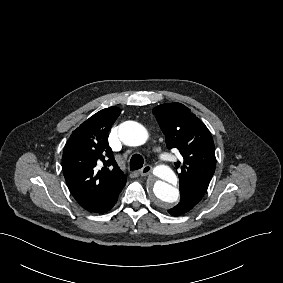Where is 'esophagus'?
<instances>
[{
	"label": "esophagus",
	"instance_id": "esophagus-1",
	"mask_svg": "<svg viewBox=\"0 0 283 283\" xmlns=\"http://www.w3.org/2000/svg\"><path fill=\"white\" fill-rule=\"evenodd\" d=\"M152 172V167L150 165H145L142 169L138 171L141 176H146Z\"/></svg>",
	"mask_w": 283,
	"mask_h": 283
}]
</instances>
